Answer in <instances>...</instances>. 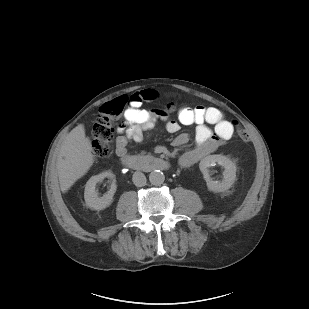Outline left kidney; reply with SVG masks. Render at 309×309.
Here are the masks:
<instances>
[{"instance_id":"5707ae66","label":"left kidney","mask_w":309,"mask_h":309,"mask_svg":"<svg viewBox=\"0 0 309 309\" xmlns=\"http://www.w3.org/2000/svg\"><path fill=\"white\" fill-rule=\"evenodd\" d=\"M219 164L224 167L223 180L213 181L210 178L208 168ZM199 168L203 173L204 179L207 182V187L213 192H223L232 187L236 178V165L223 155H209L200 161Z\"/></svg>"}]
</instances>
